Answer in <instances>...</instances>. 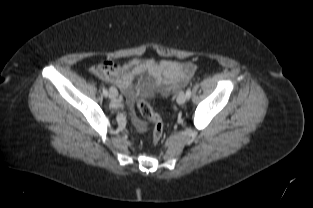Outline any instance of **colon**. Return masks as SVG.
<instances>
[{"label": "colon", "instance_id": "5ec220e1", "mask_svg": "<svg viewBox=\"0 0 313 208\" xmlns=\"http://www.w3.org/2000/svg\"><path fill=\"white\" fill-rule=\"evenodd\" d=\"M137 108L140 115L152 123V140L155 145L158 144L163 136V122L161 117L154 111L151 104L146 100H140L137 103Z\"/></svg>", "mask_w": 313, "mask_h": 208}]
</instances>
